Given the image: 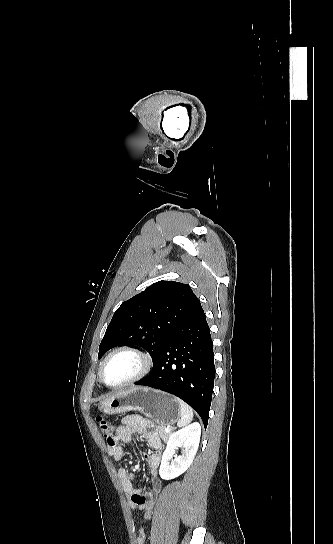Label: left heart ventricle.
<instances>
[{
    "instance_id": "1",
    "label": "left heart ventricle",
    "mask_w": 333,
    "mask_h": 544,
    "mask_svg": "<svg viewBox=\"0 0 333 544\" xmlns=\"http://www.w3.org/2000/svg\"><path fill=\"white\" fill-rule=\"evenodd\" d=\"M140 368L139 359L129 353L113 356L104 368V379L110 385H116L131 378Z\"/></svg>"
}]
</instances>
